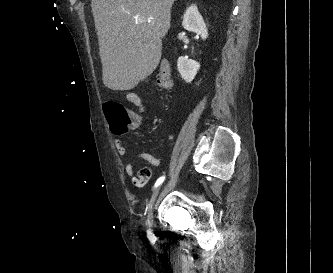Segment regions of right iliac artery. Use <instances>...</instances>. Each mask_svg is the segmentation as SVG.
Here are the masks:
<instances>
[{
  "mask_svg": "<svg viewBox=\"0 0 333 273\" xmlns=\"http://www.w3.org/2000/svg\"><path fill=\"white\" fill-rule=\"evenodd\" d=\"M164 179H165V176L160 177L156 181L154 187H158L164 181ZM147 236H148L149 239H153L154 238L153 234L150 231H147Z\"/></svg>",
  "mask_w": 333,
  "mask_h": 273,
  "instance_id": "right-iliac-artery-1",
  "label": "right iliac artery"
}]
</instances>
